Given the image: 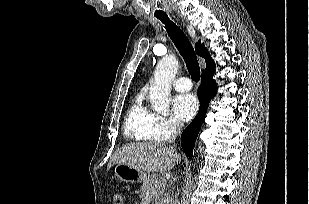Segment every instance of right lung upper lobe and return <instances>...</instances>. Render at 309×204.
Segmentation results:
<instances>
[{
  "label": "right lung upper lobe",
  "mask_w": 309,
  "mask_h": 204,
  "mask_svg": "<svg viewBox=\"0 0 309 204\" xmlns=\"http://www.w3.org/2000/svg\"><path fill=\"white\" fill-rule=\"evenodd\" d=\"M195 50H196V53L199 56H201V57H203L205 59V61H206V69L205 70H208V69H211V68L215 67V64H214L213 60L210 58L207 49L204 48L203 45H201V41H198L195 44Z\"/></svg>",
  "instance_id": "1"
}]
</instances>
